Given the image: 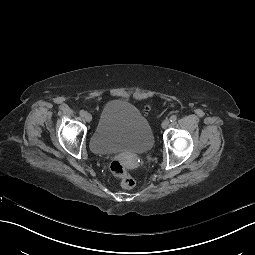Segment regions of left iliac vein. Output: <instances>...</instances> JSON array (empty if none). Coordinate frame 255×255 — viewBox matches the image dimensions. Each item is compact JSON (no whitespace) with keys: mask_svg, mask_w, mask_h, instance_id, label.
I'll list each match as a JSON object with an SVG mask.
<instances>
[{"mask_svg":"<svg viewBox=\"0 0 255 255\" xmlns=\"http://www.w3.org/2000/svg\"><path fill=\"white\" fill-rule=\"evenodd\" d=\"M169 120L168 119H165V120H163V122H162V124H161V126H162V128L163 129H166L168 126H169Z\"/></svg>","mask_w":255,"mask_h":255,"instance_id":"4c4485c4","label":"left iliac vein"}]
</instances>
